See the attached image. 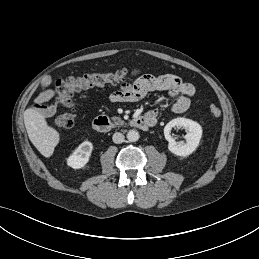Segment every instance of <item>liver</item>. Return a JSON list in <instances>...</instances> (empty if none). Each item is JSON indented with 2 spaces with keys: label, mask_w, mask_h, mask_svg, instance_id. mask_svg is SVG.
<instances>
[{
  "label": "liver",
  "mask_w": 259,
  "mask_h": 259,
  "mask_svg": "<svg viewBox=\"0 0 259 259\" xmlns=\"http://www.w3.org/2000/svg\"><path fill=\"white\" fill-rule=\"evenodd\" d=\"M24 124L32 144L44 157L49 158L59 143L58 131L47 124L41 111L34 108L24 112Z\"/></svg>",
  "instance_id": "liver-1"
}]
</instances>
